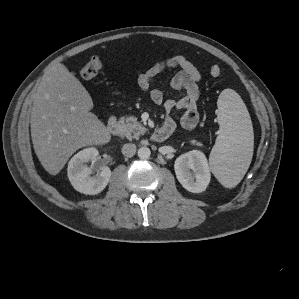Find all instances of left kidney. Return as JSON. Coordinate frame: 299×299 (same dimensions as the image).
Wrapping results in <instances>:
<instances>
[{
	"label": "left kidney",
	"mask_w": 299,
	"mask_h": 299,
	"mask_svg": "<svg viewBox=\"0 0 299 299\" xmlns=\"http://www.w3.org/2000/svg\"><path fill=\"white\" fill-rule=\"evenodd\" d=\"M174 170L180 184L192 193L205 191L211 179L207 158L199 150L180 155L175 160Z\"/></svg>",
	"instance_id": "left-kidney-1"
}]
</instances>
